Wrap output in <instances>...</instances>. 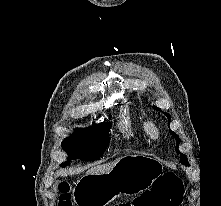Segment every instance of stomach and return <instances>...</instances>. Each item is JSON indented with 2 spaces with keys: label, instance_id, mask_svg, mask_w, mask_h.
Instances as JSON below:
<instances>
[{
  "label": "stomach",
  "instance_id": "obj_1",
  "mask_svg": "<svg viewBox=\"0 0 221 206\" xmlns=\"http://www.w3.org/2000/svg\"><path fill=\"white\" fill-rule=\"evenodd\" d=\"M163 165L157 158L130 155L119 159L102 175L86 174L79 182L85 191L77 198L79 206H106L122 194H137L150 188L161 175Z\"/></svg>",
  "mask_w": 221,
  "mask_h": 206
}]
</instances>
